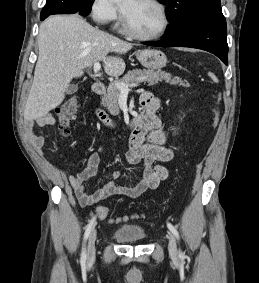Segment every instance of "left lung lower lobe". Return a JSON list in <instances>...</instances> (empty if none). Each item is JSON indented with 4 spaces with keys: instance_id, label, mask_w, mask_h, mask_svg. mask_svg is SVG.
I'll return each instance as SVG.
<instances>
[{
    "instance_id": "left-lung-lower-lobe-1",
    "label": "left lung lower lobe",
    "mask_w": 259,
    "mask_h": 283,
    "mask_svg": "<svg viewBox=\"0 0 259 283\" xmlns=\"http://www.w3.org/2000/svg\"><path fill=\"white\" fill-rule=\"evenodd\" d=\"M144 44L202 49L215 54L226 65L228 64L227 26L222 11L209 14L179 31L166 33L160 41Z\"/></svg>"
}]
</instances>
